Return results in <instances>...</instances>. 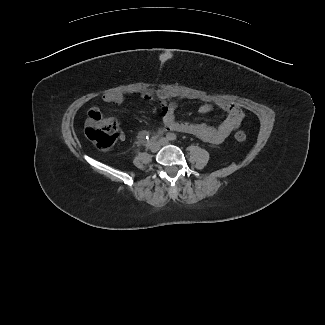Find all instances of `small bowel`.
Segmentation results:
<instances>
[{
    "label": "small bowel",
    "mask_w": 325,
    "mask_h": 325,
    "mask_svg": "<svg viewBox=\"0 0 325 325\" xmlns=\"http://www.w3.org/2000/svg\"><path fill=\"white\" fill-rule=\"evenodd\" d=\"M142 99L147 101H157L162 105V117L164 128L167 131L181 132L192 134L205 142L211 144L222 143L236 128L239 127L243 120V112L236 105L224 99H212L207 95L180 90L165 89H141L136 92ZM102 101L107 103L120 104L125 99V93L121 91L106 92L101 96ZM189 99L201 102L199 107L200 113H208L217 106L227 113L226 118L217 126H210L204 123H187L176 119V100ZM99 111L97 107L90 109ZM121 139L125 138L124 132L119 134Z\"/></svg>",
    "instance_id": "1"
}]
</instances>
